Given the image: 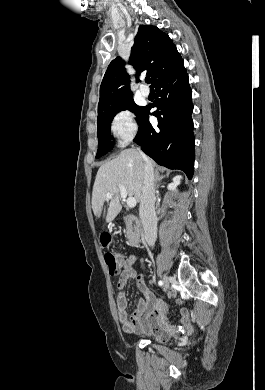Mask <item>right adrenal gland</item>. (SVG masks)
<instances>
[{"instance_id": "obj_1", "label": "right adrenal gland", "mask_w": 265, "mask_h": 390, "mask_svg": "<svg viewBox=\"0 0 265 390\" xmlns=\"http://www.w3.org/2000/svg\"><path fill=\"white\" fill-rule=\"evenodd\" d=\"M165 177H166L165 175H163V176L159 175L158 170H156V172H155V182L156 183L160 182Z\"/></svg>"}]
</instances>
